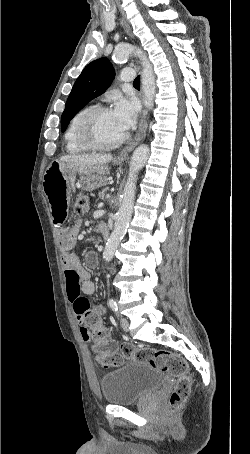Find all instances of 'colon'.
<instances>
[{"label":"colon","mask_w":250,"mask_h":454,"mask_svg":"<svg viewBox=\"0 0 250 454\" xmlns=\"http://www.w3.org/2000/svg\"><path fill=\"white\" fill-rule=\"evenodd\" d=\"M90 198L79 193L76 198L75 212L82 215L89 210ZM91 331L92 348L98 362L105 368L119 366L125 359L131 358L144 362L160 372L167 373L176 379V385L170 395V411L178 410L187 400L191 392V377L187 361L179 354L163 349L136 347L132 344L122 345L120 352L109 339V332L102 322V317L92 316L88 320Z\"/></svg>","instance_id":"1"}]
</instances>
